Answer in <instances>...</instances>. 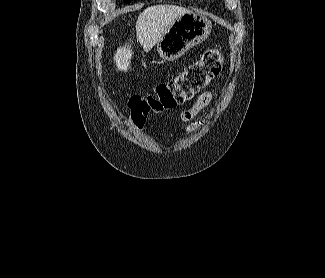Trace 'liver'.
Returning a JSON list of instances; mask_svg holds the SVG:
<instances>
[{
    "instance_id": "obj_1",
    "label": "liver",
    "mask_w": 325,
    "mask_h": 278,
    "mask_svg": "<svg viewBox=\"0 0 325 278\" xmlns=\"http://www.w3.org/2000/svg\"><path fill=\"white\" fill-rule=\"evenodd\" d=\"M190 12L176 5H156L146 8L136 21L137 40L144 51L149 52L179 16ZM132 56L131 45L118 47L114 55L117 70L127 72Z\"/></svg>"
}]
</instances>
